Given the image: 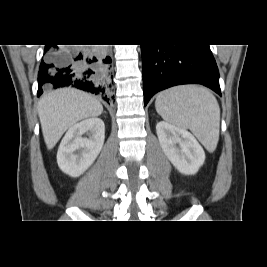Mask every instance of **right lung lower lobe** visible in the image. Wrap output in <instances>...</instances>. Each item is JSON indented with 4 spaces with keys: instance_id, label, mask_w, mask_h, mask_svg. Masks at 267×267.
Instances as JSON below:
<instances>
[{
    "instance_id": "obj_1",
    "label": "right lung lower lobe",
    "mask_w": 267,
    "mask_h": 267,
    "mask_svg": "<svg viewBox=\"0 0 267 267\" xmlns=\"http://www.w3.org/2000/svg\"><path fill=\"white\" fill-rule=\"evenodd\" d=\"M108 49H72L46 45L38 73V96L43 90L74 87L109 102L112 96Z\"/></svg>"
}]
</instances>
